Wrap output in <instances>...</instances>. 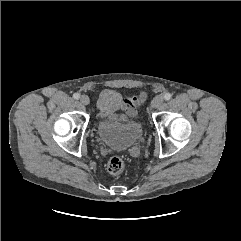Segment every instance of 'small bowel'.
Returning <instances> with one entry per match:
<instances>
[{
	"instance_id": "obj_1",
	"label": "small bowel",
	"mask_w": 241,
	"mask_h": 241,
	"mask_svg": "<svg viewBox=\"0 0 241 241\" xmlns=\"http://www.w3.org/2000/svg\"><path fill=\"white\" fill-rule=\"evenodd\" d=\"M144 100V92L135 96L124 97L114 90L106 89L100 94L98 109L102 117H114L128 121L136 117L137 108Z\"/></svg>"
}]
</instances>
